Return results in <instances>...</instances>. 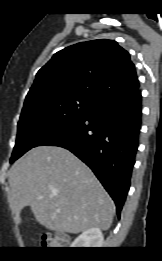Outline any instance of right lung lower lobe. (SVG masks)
I'll use <instances>...</instances> for the list:
<instances>
[{
	"instance_id": "1",
	"label": "right lung lower lobe",
	"mask_w": 162,
	"mask_h": 261,
	"mask_svg": "<svg viewBox=\"0 0 162 261\" xmlns=\"http://www.w3.org/2000/svg\"><path fill=\"white\" fill-rule=\"evenodd\" d=\"M141 115L139 88L120 92L52 130L36 146L66 148L86 163L114 200L120 217L135 163Z\"/></svg>"
}]
</instances>
